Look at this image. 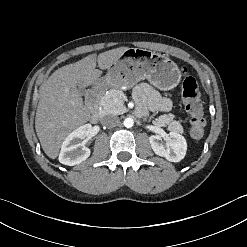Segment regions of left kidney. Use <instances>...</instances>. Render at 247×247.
Instances as JSON below:
<instances>
[{
	"instance_id": "left-kidney-1",
	"label": "left kidney",
	"mask_w": 247,
	"mask_h": 247,
	"mask_svg": "<svg viewBox=\"0 0 247 247\" xmlns=\"http://www.w3.org/2000/svg\"><path fill=\"white\" fill-rule=\"evenodd\" d=\"M160 139L159 135L149 137V142L156 155L164 157L170 162H179L185 157L187 143L182 135L170 132L166 144L161 143Z\"/></svg>"
}]
</instances>
